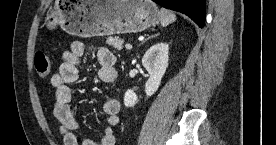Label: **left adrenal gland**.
Instances as JSON below:
<instances>
[{"mask_svg": "<svg viewBox=\"0 0 276 145\" xmlns=\"http://www.w3.org/2000/svg\"><path fill=\"white\" fill-rule=\"evenodd\" d=\"M158 35H159V34H154V35H152V36L147 37L144 41L141 42V44H143V43L146 42L147 40H149V39H151V38H153V37H156V36H158Z\"/></svg>", "mask_w": 276, "mask_h": 145, "instance_id": "obj_1", "label": "left adrenal gland"}]
</instances>
